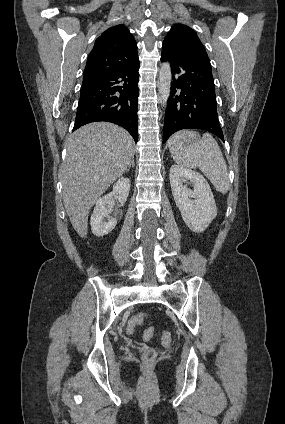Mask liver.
<instances>
[{"mask_svg": "<svg viewBox=\"0 0 285 424\" xmlns=\"http://www.w3.org/2000/svg\"><path fill=\"white\" fill-rule=\"evenodd\" d=\"M66 148L63 203L75 231L86 237L90 209L131 164L134 141L118 125L94 122L76 130Z\"/></svg>", "mask_w": 285, "mask_h": 424, "instance_id": "obj_1", "label": "liver"}]
</instances>
